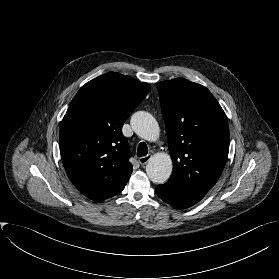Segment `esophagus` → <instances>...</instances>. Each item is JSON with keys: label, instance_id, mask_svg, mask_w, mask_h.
I'll use <instances>...</instances> for the list:
<instances>
[{"label": "esophagus", "instance_id": "34e87169", "mask_svg": "<svg viewBox=\"0 0 279 279\" xmlns=\"http://www.w3.org/2000/svg\"><path fill=\"white\" fill-rule=\"evenodd\" d=\"M151 155L150 154H148V155H146V156H143V157H140L139 158V163L141 164V165H145V164H147L148 162H149V160L151 159Z\"/></svg>", "mask_w": 279, "mask_h": 279}]
</instances>
